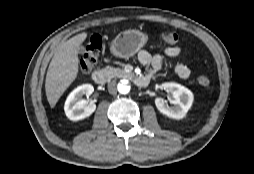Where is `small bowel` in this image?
Segmentation results:
<instances>
[{"mask_svg": "<svg viewBox=\"0 0 254 174\" xmlns=\"http://www.w3.org/2000/svg\"><path fill=\"white\" fill-rule=\"evenodd\" d=\"M180 52L181 49L179 46H167L163 50L162 54L152 56L148 51L141 50L138 52L137 57L142 65L150 67L149 74L153 75L162 68L165 63L166 57H177ZM175 72L182 79H187L190 76V69L182 63H178L175 65Z\"/></svg>", "mask_w": 254, "mask_h": 174, "instance_id": "c3829d8e", "label": "small bowel"}]
</instances>
